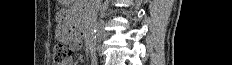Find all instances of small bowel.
<instances>
[{
    "label": "small bowel",
    "mask_w": 232,
    "mask_h": 65,
    "mask_svg": "<svg viewBox=\"0 0 232 65\" xmlns=\"http://www.w3.org/2000/svg\"><path fill=\"white\" fill-rule=\"evenodd\" d=\"M76 12H57L55 17L56 21H67L68 17H76ZM74 28V23H59L57 27V32L54 33L55 37H58L60 45H69L70 47H81L82 43L77 42L76 32H72ZM72 60L68 59L62 65H72Z\"/></svg>",
    "instance_id": "obj_1"
}]
</instances>
